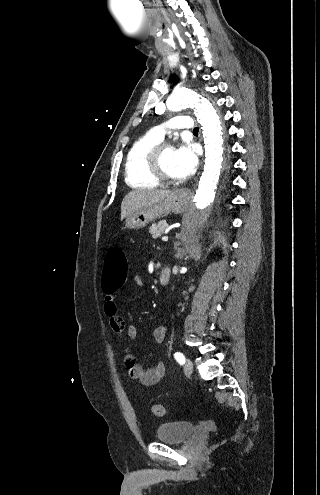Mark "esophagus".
I'll return each mask as SVG.
<instances>
[{
  "instance_id": "1",
  "label": "esophagus",
  "mask_w": 320,
  "mask_h": 495,
  "mask_svg": "<svg viewBox=\"0 0 320 495\" xmlns=\"http://www.w3.org/2000/svg\"><path fill=\"white\" fill-rule=\"evenodd\" d=\"M178 194L181 195V196H183V197L188 198L190 196L191 192H190V189L185 188V189L179 190L178 191Z\"/></svg>"
}]
</instances>
